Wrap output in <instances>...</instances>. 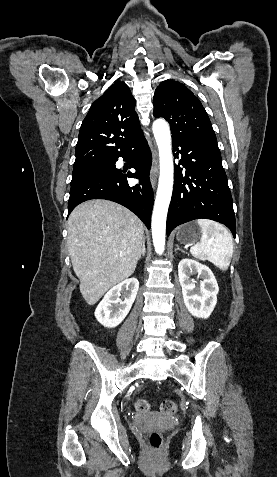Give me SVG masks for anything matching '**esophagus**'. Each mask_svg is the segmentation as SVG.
I'll return each mask as SVG.
<instances>
[{
	"instance_id": "34e87169",
	"label": "esophagus",
	"mask_w": 277,
	"mask_h": 477,
	"mask_svg": "<svg viewBox=\"0 0 277 477\" xmlns=\"http://www.w3.org/2000/svg\"><path fill=\"white\" fill-rule=\"evenodd\" d=\"M158 170H159L158 155H157V149L155 147L153 151V160H152V166L150 171V181L153 188H155L156 186V182L158 178Z\"/></svg>"
}]
</instances>
